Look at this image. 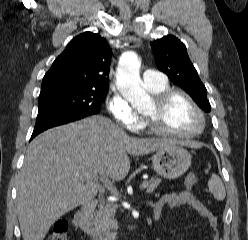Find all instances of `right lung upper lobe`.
I'll list each match as a JSON object with an SVG mask.
<instances>
[{
  "instance_id": "right-lung-upper-lobe-1",
  "label": "right lung upper lobe",
  "mask_w": 248,
  "mask_h": 240,
  "mask_svg": "<svg viewBox=\"0 0 248 240\" xmlns=\"http://www.w3.org/2000/svg\"><path fill=\"white\" fill-rule=\"evenodd\" d=\"M111 51L91 32L73 38L45 74L40 93L59 89H107Z\"/></svg>"
}]
</instances>
